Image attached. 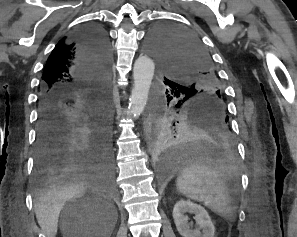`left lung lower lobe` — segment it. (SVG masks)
<instances>
[{"mask_svg":"<svg viewBox=\"0 0 297 237\" xmlns=\"http://www.w3.org/2000/svg\"><path fill=\"white\" fill-rule=\"evenodd\" d=\"M166 94L168 101L173 99L172 94L180 97V93L169 89ZM182 101H176L175 105L182 116L180 128L158 139L155 153L160 165L170 169L197 160L211 161L232 155L234 138L229 118L218 107L204 103L188 105Z\"/></svg>","mask_w":297,"mask_h":237,"instance_id":"left-lung-lower-lobe-1","label":"left lung lower lobe"}]
</instances>
